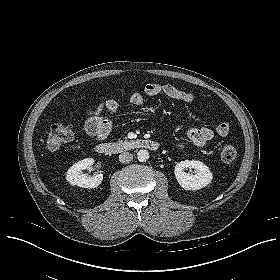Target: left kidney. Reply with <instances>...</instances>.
Segmentation results:
<instances>
[{"label": "left kidney", "instance_id": "left-kidney-1", "mask_svg": "<svg viewBox=\"0 0 280 280\" xmlns=\"http://www.w3.org/2000/svg\"><path fill=\"white\" fill-rule=\"evenodd\" d=\"M187 168L194 169L193 173H187ZM175 177L179 185L185 190H199L211 183L213 175L209 168L198 160H185L176 164Z\"/></svg>", "mask_w": 280, "mask_h": 280}]
</instances>
